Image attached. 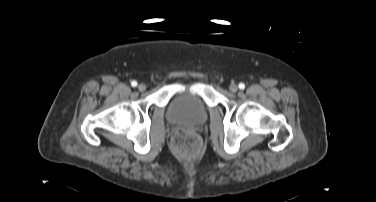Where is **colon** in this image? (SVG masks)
<instances>
[{
	"mask_svg": "<svg viewBox=\"0 0 376 202\" xmlns=\"http://www.w3.org/2000/svg\"><path fill=\"white\" fill-rule=\"evenodd\" d=\"M173 151L183 158L195 157L201 149V140L195 133L177 131L171 141Z\"/></svg>",
	"mask_w": 376,
	"mask_h": 202,
	"instance_id": "5ec220e1",
	"label": "colon"
}]
</instances>
